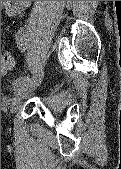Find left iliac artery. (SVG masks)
Returning <instances> with one entry per match:
<instances>
[{
	"instance_id": "left-iliac-artery-1",
	"label": "left iliac artery",
	"mask_w": 121,
	"mask_h": 169,
	"mask_svg": "<svg viewBox=\"0 0 121 169\" xmlns=\"http://www.w3.org/2000/svg\"><path fill=\"white\" fill-rule=\"evenodd\" d=\"M19 34H15V39H16V43H23V36L22 34H20L21 32H18ZM18 50L20 49L19 47L17 48ZM41 76L43 75V72L40 74ZM32 79V77L29 76H23V77H19L17 78L14 82L13 85L15 87H20L24 84H26L27 82H29Z\"/></svg>"
}]
</instances>
